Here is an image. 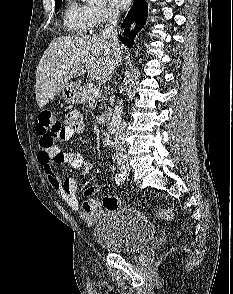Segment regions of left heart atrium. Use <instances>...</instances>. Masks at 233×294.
<instances>
[{"instance_id": "1", "label": "left heart atrium", "mask_w": 233, "mask_h": 294, "mask_svg": "<svg viewBox=\"0 0 233 294\" xmlns=\"http://www.w3.org/2000/svg\"><path fill=\"white\" fill-rule=\"evenodd\" d=\"M132 0H111L112 4L120 9H125L130 5Z\"/></svg>"}]
</instances>
